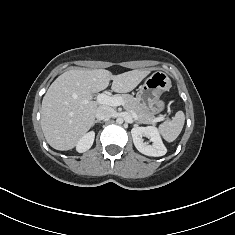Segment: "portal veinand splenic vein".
Wrapping results in <instances>:
<instances>
[{
    "instance_id": "portal-vein-and-splenic-vein-1",
    "label": "portal vein and splenic vein",
    "mask_w": 235,
    "mask_h": 235,
    "mask_svg": "<svg viewBox=\"0 0 235 235\" xmlns=\"http://www.w3.org/2000/svg\"><path fill=\"white\" fill-rule=\"evenodd\" d=\"M97 102L100 103V104H106V105L113 106V107L123 105V100H122L121 97H119V96L111 97V96H108V95L103 94V93H101L97 96ZM129 112L131 113L132 117L135 120L138 119V116L135 112H133V111H129ZM163 119H164L163 117H158V118H155L154 121L159 122Z\"/></svg>"
}]
</instances>
